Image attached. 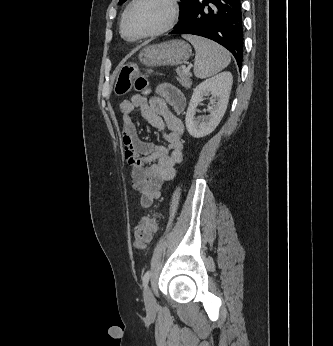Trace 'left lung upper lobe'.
I'll list each match as a JSON object with an SVG mask.
<instances>
[{
	"mask_svg": "<svg viewBox=\"0 0 333 346\" xmlns=\"http://www.w3.org/2000/svg\"><path fill=\"white\" fill-rule=\"evenodd\" d=\"M126 0H119V4H123ZM192 0H181V7H180V17H179V20H181V18L183 17L184 15V12L186 11L189 3L191 2Z\"/></svg>",
	"mask_w": 333,
	"mask_h": 346,
	"instance_id": "5c2ea615",
	"label": "left lung upper lobe"
}]
</instances>
